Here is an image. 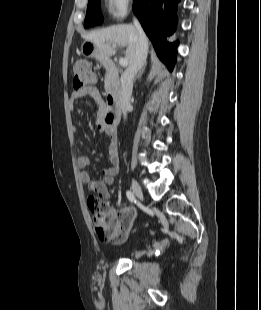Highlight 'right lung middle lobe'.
<instances>
[{
	"mask_svg": "<svg viewBox=\"0 0 261 310\" xmlns=\"http://www.w3.org/2000/svg\"><path fill=\"white\" fill-rule=\"evenodd\" d=\"M102 22L103 17L101 14L100 0H89L84 27L88 28L91 26L101 24Z\"/></svg>",
	"mask_w": 261,
	"mask_h": 310,
	"instance_id": "right-lung-middle-lobe-1",
	"label": "right lung middle lobe"
}]
</instances>
